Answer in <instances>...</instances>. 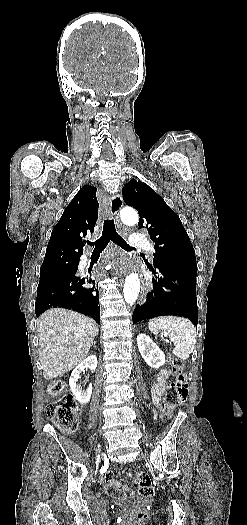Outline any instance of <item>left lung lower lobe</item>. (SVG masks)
I'll return each mask as SVG.
<instances>
[{
  "label": "left lung lower lobe",
  "mask_w": 247,
  "mask_h": 525,
  "mask_svg": "<svg viewBox=\"0 0 247 525\" xmlns=\"http://www.w3.org/2000/svg\"><path fill=\"white\" fill-rule=\"evenodd\" d=\"M154 274L153 289L145 304L135 308L133 323L158 316L176 315L189 318L197 326L198 308L196 276L149 268Z\"/></svg>",
  "instance_id": "1"
}]
</instances>
